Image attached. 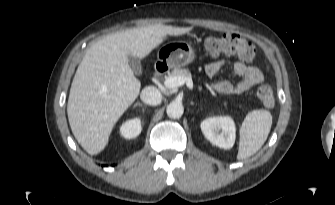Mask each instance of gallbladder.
<instances>
[{
	"label": "gallbladder",
	"mask_w": 335,
	"mask_h": 205,
	"mask_svg": "<svg viewBox=\"0 0 335 205\" xmlns=\"http://www.w3.org/2000/svg\"><path fill=\"white\" fill-rule=\"evenodd\" d=\"M128 59H129V64L132 67L133 71L138 75L141 74L142 66H141L139 58L135 56H128Z\"/></svg>",
	"instance_id": "1"
}]
</instances>
